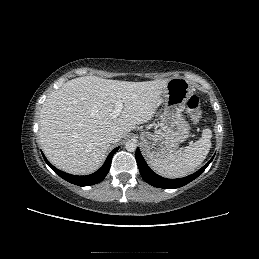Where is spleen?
I'll use <instances>...</instances> for the list:
<instances>
[{"label": "spleen", "instance_id": "3e777b00", "mask_svg": "<svg viewBox=\"0 0 259 259\" xmlns=\"http://www.w3.org/2000/svg\"><path fill=\"white\" fill-rule=\"evenodd\" d=\"M212 131L206 128L202 137L178 155L150 160V165L160 175L179 178L193 172L206 159L211 148Z\"/></svg>", "mask_w": 259, "mask_h": 259}]
</instances>
